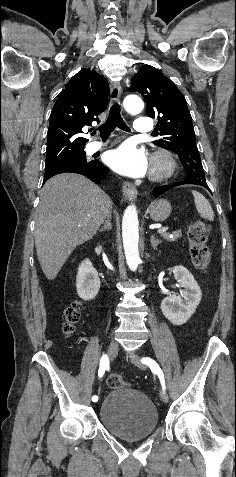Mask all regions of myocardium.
I'll use <instances>...</instances> for the list:
<instances>
[{
  "mask_svg": "<svg viewBox=\"0 0 236 477\" xmlns=\"http://www.w3.org/2000/svg\"><path fill=\"white\" fill-rule=\"evenodd\" d=\"M176 169V162L170 152L157 150L151 157L150 179L163 181L172 176Z\"/></svg>",
  "mask_w": 236,
  "mask_h": 477,
  "instance_id": "1",
  "label": "myocardium"
}]
</instances>
